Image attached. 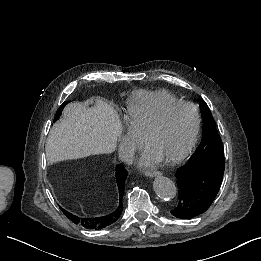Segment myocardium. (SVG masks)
Instances as JSON below:
<instances>
[{
    "mask_svg": "<svg viewBox=\"0 0 261 261\" xmlns=\"http://www.w3.org/2000/svg\"><path fill=\"white\" fill-rule=\"evenodd\" d=\"M175 107H181V108H186V109L190 110L194 116V125H193L192 131L190 133V136H189L187 142L178 152H176L166 158H159V160L165 164H170V163L183 159L193 148V146L197 140V137H198V134L200 131V127H201V121H202L201 114L198 111V109L193 104L188 103V102H181V101L170 102V103L165 104L157 112L142 116L141 118H139L137 120V123H136V131L138 133V131L142 125H144L147 122H151L153 120L158 119L164 112H166L172 108H175Z\"/></svg>",
    "mask_w": 261,
    "mask_h": 261,
    "instance_id": "1",
    "label": "myocardium"
}]
</instances>
